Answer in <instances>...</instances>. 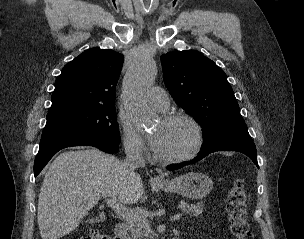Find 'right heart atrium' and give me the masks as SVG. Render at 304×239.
I'll use <instances>...</instances> for the list:
<instances>
[{"mask_svg":"<svg viewBox=\"0 0 304 239\" xmlns=\"http://www.w3.org/2000/svg\"><path fill=\"white\" fill-rule=\"evenodd\" d=\"M120 122L126 151L133 156H141L144 154V142L130 119L127 116H121Z\"/></svg>","mask_w":304,"mask_h":239,"instance_id":"d8ad5b80","label":"right heart atrium"}]
</instances>
